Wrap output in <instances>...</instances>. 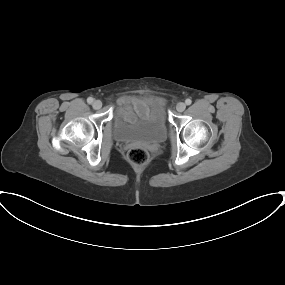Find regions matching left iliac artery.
Listing matches in <instances>:
<instances>
[{
    "instance_id": "obj_1",
    "label": "left iliac artery",
    "mask_w": 285,
    "mask_h": 285,
    "mask_svg": "<svg viewBox=\"0 0 285 285\" xmlns=\"http://www.w3.org/2000/svg\"><path fill=\"white\" fill-rule=\"evenodd\" d=\"M185 103H186L187 105H190V104L192 103V101H191L190 99H186V100H185Z\"/></svg>"
}]
</instances>
